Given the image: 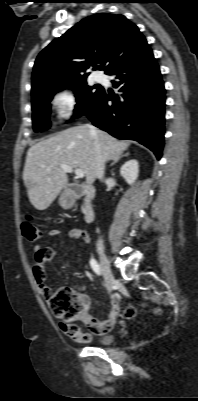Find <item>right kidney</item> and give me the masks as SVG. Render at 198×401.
<instances>
[{"label":"right kidney","instance_id":"right-kidney-1","mask_svg":"<svg viewBox=\"0 0 198 401\" xmlns=\"http://www.w3.org/2000/svg\"><path fill=\"white\" fill-rule=\"evenodd\" d=\"M139 164L135 159L125 162L120 168V174L129 185H133L138 178Z\"/></svg>","mask_w":198,"mask_h":401}]
</instances>
